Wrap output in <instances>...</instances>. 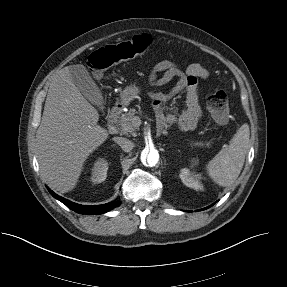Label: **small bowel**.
Listing matches in <instances>:
<instances>
[{
  "label": "small bowel",
  "mask_w": 287,
  "mask_h": 287,
  "mask_svg": "<svg viewBox=\"0 0 287 287\" xmlns=\"http://www.w3.org/2000/svg\"><path fill=\"white\" fill-rule=\"evenodd\" d=\"M209 73L201 64H190L183 71L171 58L158 62L149 74L152 86H163L177 78V83L168 92H150L153 108L162 127L165 123L176 124L181 130L196 127L202 116L198 97L199 80H206ZM181 92L186 93L185 108L176 116L167 110L166 103Z\"/></svg>",
  "instance_id": "obj_1"
}]
</instances>
